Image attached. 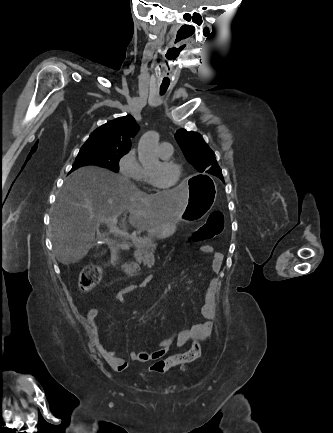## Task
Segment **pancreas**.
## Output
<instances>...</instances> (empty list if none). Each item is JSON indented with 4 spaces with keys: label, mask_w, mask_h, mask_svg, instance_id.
Instances as JSON below:
<instances>
[{
    "label": "pancreas",
    "mask_w": 333,
    "mask_h": 433,
    "mask_svg": "<svg viewBox=\"0 0 333 433\" xmlns=\"http://www.w3.org/2000/svg\"><path fill=\"white\" fill-rule=\"evenodd\" d=\"M144 241L143 243L141 242H133V245L135 247V251H134V257L137 260V262L139 264L143 263L144 265L147 264L145 257L147 255V253L149 251H152L153 248L156 247V243H155V238L153 235H148L146 237H144ZM133 263L130 264V266H132Z\"/></svg>",
    "instance_id": "cf45deb5"
}]
</instances>
